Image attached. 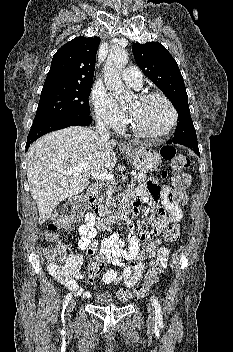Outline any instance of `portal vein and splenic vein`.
<instances>
[{
  "instance_id": "obj_1",
  "label": "portal vein and splenic vein",
  "mask_w": 233,
  "mask_h": 352,
  "mask_svg": "<svg viewBox=\"0 0 233 352\" xmlns=\"http://www.w3.org/2000/svg\"><path fill=\"white\" fill-rule=\"evenodd\" d=\"M86 171H88V165L87 164H80L70 171H64V173L78 175L79 173H83ZM91 176L95 179L107 180V181H113V178H114L111 173H97V172H95V173H91ZM132 176H136V173L132 172Z\"/></svg>"
}]
</instances>
